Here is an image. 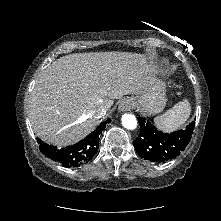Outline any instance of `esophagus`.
I'll use <instances>...</instances> for the list:
<instances>
[{
	"mask_svg": "<svg viewBox=\"0 0 221 221\" xmlns=\"http://www.w3.org/2000/svg\"><path fill=\"white\" fill-rule=\"evenodd\" d=\"M135 106V101L133 98H125L119 104V109L121 111H130Z\"/></svg>",
	"mask_w": 221,
	"mask_h": 221,
	"instance_id": "esophagus-1",
	"label": "esophagus"
}]
</instances>
